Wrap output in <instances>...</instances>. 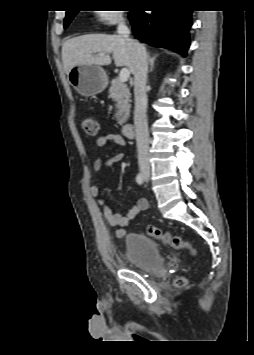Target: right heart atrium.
Returning <instances> with one entry per match:
<instances>
[{"label":"right heart atrium","mask_w":254,"mask_h":355,"mask_svg":"<svg viewBox=\"0 0 254 355\" xmlns=\"http://www.w3.org/2000/svg\"><path fill=\"white\" fill-rule=\"evenodd\" d=\"M126 19V15L119 11L104 10L99 12V20L106 24H115L122 22Z\"/></svg>","instance_id":"1"}]
</instances>
